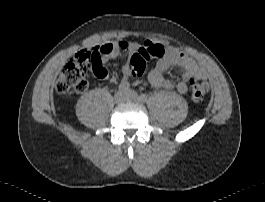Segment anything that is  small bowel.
<instances>
[{
	"label": "small bowel",
	"mask_w": 265,
	"mask_h": 202,
	"mask_svg": "<svg viewBox=\"0 0 265 202\" xmlns=\"http://www.w3.org/2000/svg\"><path fill=\"white\" fill-rule=\"evenodd\" d=\"M111 45L112 50L108 52H100V59L103 63L115 59L118 56L119 51L123 50L133 53L140 47L146 45V43L140 44L122 40ZM174 67L182 70L181 78L175 84L166 78L167 72ZM123 72L125 76L121 82L128 83V78L132 76V66L130 63H127L123 67ZM102 77H105V74ZM194 78H205L204 70L194 59L172 47L167 49L166 56L156 63L148 75V80L152 86L163 89L175 86L182 94L187 93L190 81Z\"/></svg>",
	"instance_id": "obj_1"
}]
</instances>
